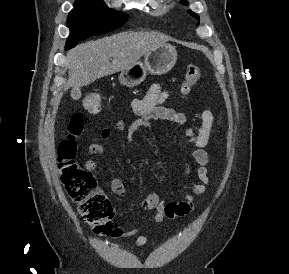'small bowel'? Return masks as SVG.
<instances>
[{
	"mask_svg": "<svg viewBox=\"0 0 289 274\" xmlns=\"http://www.w3.org/2000/svg\"><path fill=\"white\" fill-rule=\"evenodd\" d=\"M169 90L164 89L159 84H154L150 87L146 95L137 99L133 108L139 120L127 126L124 121H118L115 124V130H127L128 135L133 134L137 128L144 123H149L156 120L171 121L179 125H184L187 122V116L184 113L178 112L172 108L164 106V102L169 97ZM214 125V114L209 107H206L200 115V124L198 128L188 127L185 134L188 138V147L191 157L197 164L198 181L192 186L191 191L186 194L180 201L164 202L158 194L149 193L139 206L143 210H154L152 221L161 223L166 219H175L190 214L195 206V197L206 192L207 186L211 179L208 175L209 154L205 147L209 143ZM112 136L110 128H104L100 133L101 140H107ZM88 151L93 155H103L105 148L101 143H93L89 146ZM85 168L89 172H96L98 165L94 160H87ZM185 174L191 173L190 164L185 161ZM111 190L120 197H129V191L122 180L115 178L111 182ZM139 234L138 229L117 227L113 229L111 235L114 237H133ZM148 237L138 235L135 240V246L141 247L147 244Z\"/></svg>",
	"mask_w": 289,
	"mask_h": 274,
	"instance_id": "obj_1",
	"label": "small bowel"
}]
</instances>
